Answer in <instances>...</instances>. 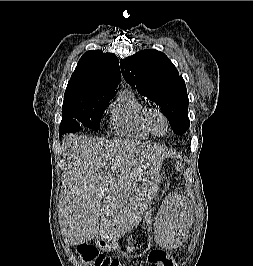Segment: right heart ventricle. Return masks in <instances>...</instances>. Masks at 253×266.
Returning <instances> with one entry per match:
<instances>
[{"label":"right heart ventricle","instance_id":"obj_1","mask_svg":"<svg viewBox=\"0 0 253 266\" xmlns=\"http://www.w3.org/2000/svg\"><path fill=\"white\" fill-rule=\"evenodd\" d=\"M147 108L130 91H123L114 103L111 111V122L123 135L146 139L151 136L146 124Z\"/></svg>","mask_w":253,"mask_h":266}]
</instances>
